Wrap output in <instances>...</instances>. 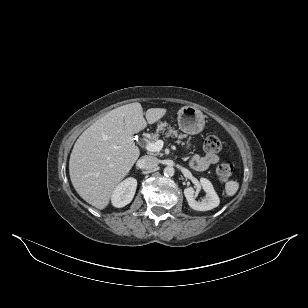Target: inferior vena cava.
<instances>
[{"instance_id":"602c4592","label":"inferior vena cava","mask_w":308,"mask_h":308,"mask_svg":"<svg viewBox=\"0 0 308 308\" xmlns=\"http://www.w3.org/2000/svg\"><path fill=\"white\" fill-rule=\"evenodd\" d=\"M140 166L143 169L151 170L158 166L159 160L158 158L150 155H145L139 160Z\"/></svg>"}]
</instances>
